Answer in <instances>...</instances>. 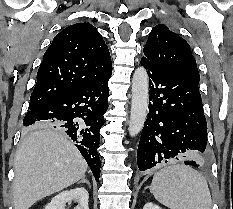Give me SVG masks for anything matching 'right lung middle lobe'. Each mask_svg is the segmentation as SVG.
Returning <instances> with one entry per match:
<instances>
[{
	"mask_svg": "<svg viewBox=\"0 0 233 209\" xmlns=\"http://www.w3.org/2000/svg\"><path fill=\"white\" fill-rule=\"evenodd\" d=\"M35 107H37V105H34V104L30 103V105H29V110H31V109H33V108H35ZM40 126L50 127V128H53V127H54L53 124H50V123H43V124H38V125L33 126L32 129H34V128H36V127H40ZM54 128H56V127H54Z\"/></svg>",
	"mask_w": 233,
	"mask_h": 209,
	"instance_id": "dd1d6c3e",
	"label": "right lung middle lobe"
}]
</instances>
